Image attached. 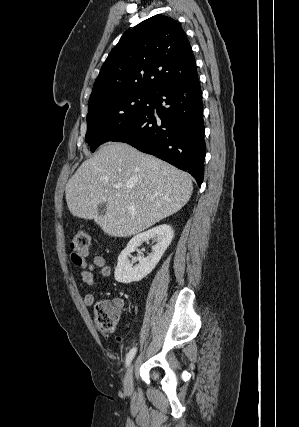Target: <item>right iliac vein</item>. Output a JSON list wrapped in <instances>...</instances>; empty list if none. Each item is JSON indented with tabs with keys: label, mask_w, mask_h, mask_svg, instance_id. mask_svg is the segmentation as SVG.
<instances>
[{
	"label": "right iliac vein",
	"mask_w": 299,
	"mask_h": 427,
	"mask_svg": "<svg viewBox=\"0 0 299 427\" xmlns=\"http://www.w3.org/2000/svg\"><path fill=\"white\" fill-rule=\"evenodd\" d=\"M133 371H134V365L131 364L127 369V372L124 378V390L127 392H130L133 389Z\"/></svg>",
	"instance_id": "obj_1"
}]
</instances>
